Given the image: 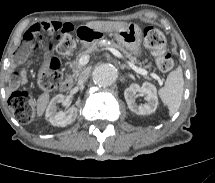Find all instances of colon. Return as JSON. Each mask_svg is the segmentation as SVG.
<instances>
[{
    "instance_id": "5ec220e1",
    "label": "colon",
    "mask_w": 215,
    "mask_h": 183,
    "mask_svg": "<svg viewBox=\"0 0 215 183\" xmlns=\"http://www.w3.org/2000/svg\"><path fill=\"white\" fill-rule=\"evenodd\" d=\"M144 45L155 57L158 68L163 72H168L173 68L174 60L171 52L166 48V39L162 32L155 27H147L144 30ZM42 45L36 39L33 43H22V57H26L33 51L42 49ZM74 48V39L71 29H64L60 34L52 39L48 44V49L58 54H67ZM40 86L45 90L57 89L62 81L60 63L55 56H51L42 63L38 75ZM9 106L16 118L29 123L35 116V102L26 91H16L9 98Z\"/></svg>"
}]
</instances>
